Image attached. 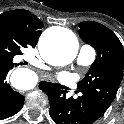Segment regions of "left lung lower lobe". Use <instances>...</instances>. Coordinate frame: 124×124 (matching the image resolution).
<instances>
[{
    "mask_svg": "<svg viewBox=\"0 0 124 124\" xmlns=\"http://www.w3.org/2000/svg\"><path fill=\"white\" fill-rule=\"evenodd\" d=\"M50 102V116L56 124H93L104 113L95 100L82 93L77 99L67 98L69 88L42 81L39 85Z\"/></svg>",
    "mask_w": 124,
    "mask_h": 124,
    "instance_id": "1",
    "label": "left lung lower lobe"
}]
</instances>
